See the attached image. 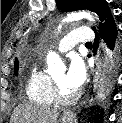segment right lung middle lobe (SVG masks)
Returning a JSON list of instances; mask_svg holds the SVG:
<instances>
[{"mask_svg":"<svg viewBox=\"0 0 122 123\" xmlns=\"http://www.w3.org/2000/svg\"><path fill=\"white\" fill-rule=\"evenodd\" d=\"M18 72V66H15V75H17Z\"/></svg>","mask_w":122,"mask_h":123,"instance_id":"1","label":"right lung middle lobe"}]
</instances>
